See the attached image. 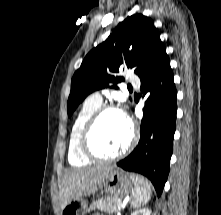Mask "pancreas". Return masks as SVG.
<instances>
[{"mask_svg": "<svg viewBox=\"0 0 221 215\" xmlns=\"http://www.w3.org/2000/svg\"><path fill=\"white\" fill-rule=\"evenodd\" d=\"M122 201L119 197H107L105 199H101L95 201L91 204V210H100L107 213H114L121 210Z\"/></svg>", "mask_w": 221, "mask_h": 215, "instance_id": "cf45deb5", "label": "pancreas"}]
</instances>
